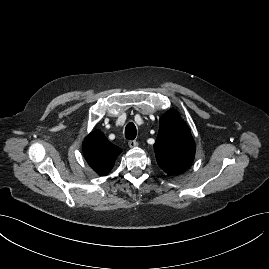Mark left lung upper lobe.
I'll list each match as a JSON object with an SVG mask.
<instances>
[{"label":"left lung upper lobe","instance_id":"left-lung-upper-lobe-1","mask_svg":"<svg viewBox=\"0 0 269 269\" xmlns=\"http://www.w3.org/2000/svg\"><path fill=\"white\" fill-rule=\"evenodd\" d=\"M154 150L158 165L169 175H179L192 164L195 143L176 110L171 109L161 117Z\"/></svg>","mask_w":269,"mask_h":269}]
</instances>
